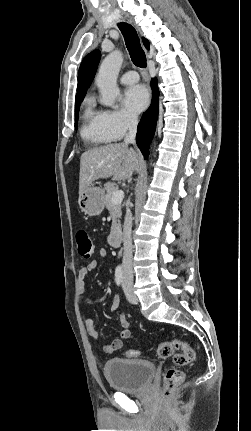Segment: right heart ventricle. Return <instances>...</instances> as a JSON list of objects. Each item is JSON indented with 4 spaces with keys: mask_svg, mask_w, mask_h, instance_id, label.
I'll return each mask as SVG.
<instances>
[{
    "mask_svg": "<svg viewBox=\"0 0 251 431\" xmlns=\"http://www.w3.org/2000/svg\"><path fill=\"white\" fill-rule=\"evenodd\" d=\"M82 118L83 139L96 144H105L114 140L104 127L102 111L96 110L91 100L86 101Z\"/></svg>",
    "mask_w": 251,
    "mask_h": 431,
    "instance_id": "obj_1",
    "label": "right heart ventricle"
}]
</instances>
